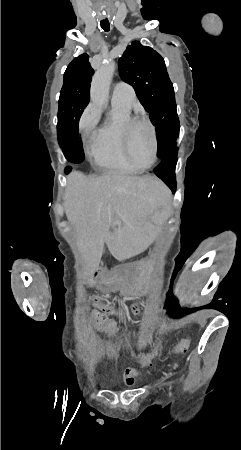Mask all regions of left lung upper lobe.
<instances>
[{"label": "left lung upper lobe", "mask_w": 241, "mask_h": 450, "mask_svg": "<svg viewBox=\"0 0 241 450\" xmlns=\"http://www.w3.org/2000/svg\"><path fill=\"white\" fill-rule=\"evenodd\" d=\"M121 78L133 86L136 95L149 112L158 136V157L166 158L177 149L180 124L176 111L174 88L164 59L151 47L134 41L119 59Z\"/></svg>", "instance_id": "5c2ea615"}]
</instances>
